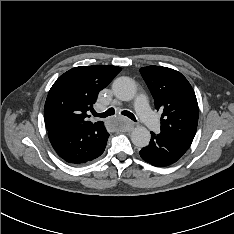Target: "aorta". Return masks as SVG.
Returning <instances> with one entry per match:
<instances>
[{"label":"aorta","mask_w":234,"mask_h":234,"mask_svg":"<svg viewBox=\"0 0 234 234\" xmlns=\"http://www.w3.org/2000/svg\"><path fill=\"white\" fill-rule=\"evenodd\" d=\"M114 95L122 101H130L136 95V86L129 77H119L112 84ZM150 132L143 126H137L131 133L132 143L139 147H145L150 142Z\"/></svg>","instance_id":"1"}]
</instances>
